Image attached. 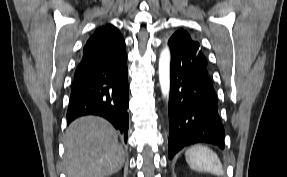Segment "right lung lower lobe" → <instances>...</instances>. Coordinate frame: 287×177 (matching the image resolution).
I'll return each mask as SVG.
<instances>
[{
  "label": "right lung lower lobe",
  "mask_w": 287,
  "mask_h": 177,
  "mask_svg": "<svg viewBox=\"0 0 287 177\" xmlns=\"http://www.w3.org/2000/svg\"><path fill=\"white\" fill-rule=\"evenodd\" d=\"M128 71L125 42L117 29L96 30L76 68L67 111L71 123L84 115L109 120L127 142Z\"/></svg>",
  "instance_id": "right-lung-lower-lobe-1"
}]
</instances>
